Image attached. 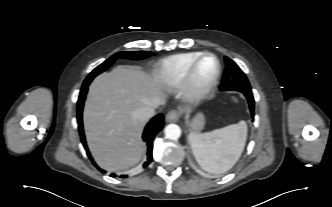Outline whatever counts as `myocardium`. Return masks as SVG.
Instances as JSON below:
<instances>
[{
    "label": "myocardium",
    "instance_id": "f54148a6",
    "mask_svg": "<svg viewBox=\"0 0 332 207\" xmlns=\"http://www.w3.org/2000/svg\"><path fill=\"white\" fill-rule=\"evenodd\" d=\"M207 57L215 60L216 68L212 78L204 85L199 84L196 79V72L201 61ZM221 74V64L216 55L202 53L190 65L182 83V96L186 101L197 102L207 98L216 87Z\"/></svg>",
    "mask_w": 332,
    "mask_h": 207
}]
</instances>
